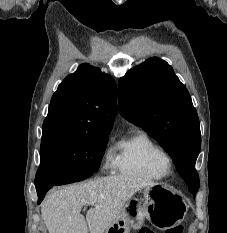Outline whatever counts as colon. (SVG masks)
Returning a JSON list of instances; mask_svg holds the SVG:
<instances>
[{
	"instance_id": "1",
	"label": "colon",
	"mask_w": 227,
	"mask_h": 233,
	"mask_svg": "<svg viewBox=\"0 0 227 233\" xmlns=\"http://www.w3.org/2000/svg\"><path fill=\"white\" fill-rule=\"evenodd\" d=\"M138 233H159V232L151 227H143L139 230ZM164 233H183V228L181 226H177L166 230Z\"/></svg>"
}]
</instances>
